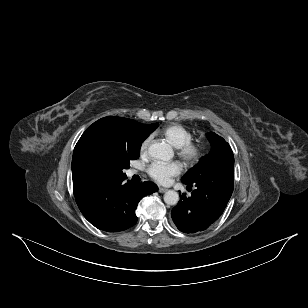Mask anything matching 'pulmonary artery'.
I'll list each match as a JSON object with an SVG mask.
<instances>
[{
    "instance_id": "e3ab8cb5",
    "label": "pulmonary artery",
    "mask_w": 308,
    "mask_h": 308,
    "mask_svg": "<svg viewBox=\"0 0 308 308\" xmlns=\"http://www.w3.org/2000/svg\"><path fill=\"white\" fill-rule=\"evenodd\" d=\"M134 173H135L134 171H131V172H130V175H133Z\"/></svg>"
}]
</instances>
